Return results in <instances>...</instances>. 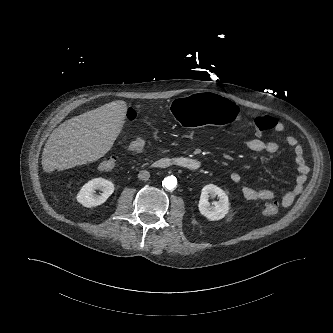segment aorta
Returning a JSON list of instances; mask_svg holds the SVG:
<instances>
[{
    "label": "aorta",
    "mask_w": 333,
    "mask_h": 333,
    "mask_svg": "<svg viewBox=\"0 0 333 333\" xmlns=\"http://www.w3.org/2000/svg\"><path fill=\"white\" fill-rule=\"evenodd\" d=\"M163 185L167 188V189H174L177 185V180L174 176H168L164 179L163 181Z\"/></svg>",
    "instance_id": "aorta-1"
}]
</instances>
